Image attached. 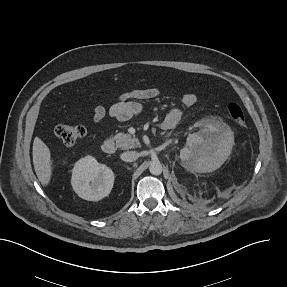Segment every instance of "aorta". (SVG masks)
I'll list each match as a JSON object with an SVG mask.
<instances>
[{
    "label": "aorta",
    "instance_id": "obj_1",
    "mask_svg": "<svg viewBox=\"0 0 287 287\" xmlns=\"http://www.w3.org/2000/svg\"><path fill=\"white\" fill-rule=\"evenodd\" d=\"M162 169V164L158 160L152 161L150 163L149 171L152 175H160L162 173Z\"/></svg>",
    "mask_w": 287,
    "mask_h": 287
}]
</instances>
